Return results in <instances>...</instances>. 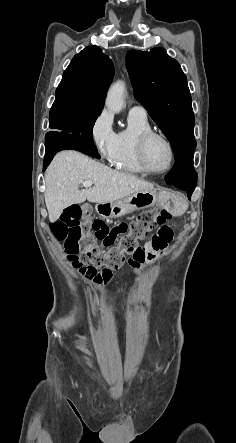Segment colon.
Masks as SVG:
<instances>
[{"instance_id": "obj_1", "label": "colon", "mask_w": 236, "mask_h": 443, "mask_svg": "<svg viewBox=\"0 0 236 443\" xmlns=\"http://www.w3.org/2000/svg\"><path fill=\"white\" fill-rule=\"evenodd\" d=\"M88 216L85 206L71 205L51 225V230L56 240L63 243L66 257L73 267L103 268L97 275L102 283L111 281L112 271L123 265L125 254L133 253L131 263L128 261L132 269L138 270L143 265L147 250L137 247V242L154 228L160 227L159 233L166 240L173 235L172 229L166 225L171 215L161 207L142 212L130 222H119L111 227L101 220L90 221ZM96 240L106 244L118 241V245L104 250L95 244Z\"/></svg>"}]
</instances>
